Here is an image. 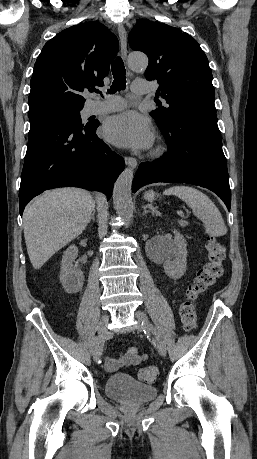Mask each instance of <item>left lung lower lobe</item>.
Wrapping results in <instances>:
<instances>
[{
  "mask_svg": "<svg viewBox=\"0 0 257 459\" xmlns=\"http://www.w3.org/2000/svg\"><path fill=\"white\" fill-rule=\"evenodd\" d=\"M160 130L168 151L160 159L140 164L132 191L155 182L190 183L216 193L230 210L229 177L215 111H185Z\"/></svg>",
  "mask_w": 257,
  "mask_h": 459,
  "instance_id": "1",
  "label": "left lung lower lobe"
}]
</instances>
